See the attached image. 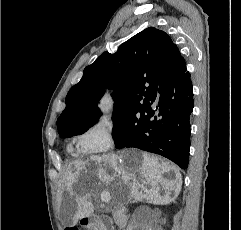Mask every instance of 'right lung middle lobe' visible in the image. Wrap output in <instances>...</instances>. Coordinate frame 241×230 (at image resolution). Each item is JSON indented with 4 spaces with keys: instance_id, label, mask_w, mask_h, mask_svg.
Listing matches in <instances>:
<instances>
[{
    "instance_id": "right-lung-middle-lobe-1",
    "label": "right lung middle lobe",
    "mask_w": 241,
    "mask_h": 230,
    "mask_svg": "<svg viewBox=\"0 0 241 230\" xmlns=\"http://www.w3.org/2000/svg\"><path fill=\"white\" fill-rule=\"evenodd\" d=\"M148 103L144 102L138 106L131 108H117L113 112V132L112 136L115 144L124 143L130 134L139 131L147 122ZM96 120L80 123L68 130L59 132L62 137H72L87 131L92 127Z\"/></svg>"
}]
</instances>
